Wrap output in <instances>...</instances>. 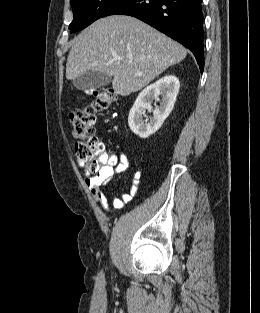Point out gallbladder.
Listing matches in <instances>:
<instances>
[{"label": "gallbladder", "mask_w": 260, "mask_h": 313, "mask_svg": "<svg viewBox=\"0 0 260 313\" xmlns=\"http://www.w3.org/2000/svg\"><path fill=\"white\" fill-rule=\"evenodd\" d=\"M111 81V77L102 72L89 71L74 79L73 85L78 90L86 91L107 86Z\"/></svg>", "instance_id": "bac80fb5"}]
</instances>
